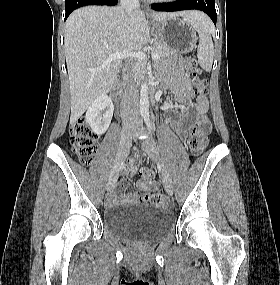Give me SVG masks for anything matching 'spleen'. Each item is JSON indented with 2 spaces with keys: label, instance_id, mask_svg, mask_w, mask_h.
<instances>
[{
  "label": "spleen",
  "instance_id": "3e777b00",
  "mask_svg": "<svg viewBox=\"0 0 280 285\" xmlns=\"http://www.w3.org/2000/svg\"><path fill=\"white\" fill-rule=\"evenodd\" d=\"M186 20L192 24L199 35V45L197 49L198 63L204 70L210 71L214 56V45L211 37L214 26L210 19L202 13L195 19Z\"/></svg>",
  "mask_w": 280,
  "mask_h": 285
}]
</instances>
